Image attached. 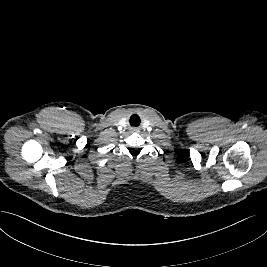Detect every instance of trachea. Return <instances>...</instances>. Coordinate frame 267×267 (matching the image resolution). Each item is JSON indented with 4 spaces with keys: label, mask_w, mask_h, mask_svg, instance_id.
I'll return each instance as SVG.
<instances>
[{
    "label": "trachea",
    "mask_w": 267,
    "mask_h": 267,
    "mask_svg": "<svg viewBox=\"0 0 267 267\" xmlns=\"http://www.w3.org/2000/svg\"><path fill=\"white\" fill-rule=\"evenodd\" d=\"M134 116H136V115H133L132 117H134ZM132 117H131V118H132ZM137 117H138V116H137ZM138 118H139V117H138ZM139 122H140V119H139Z\"/></svg>",
    "instance_id": "1"
}]
</instances>
